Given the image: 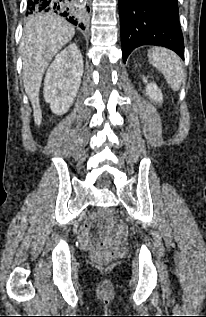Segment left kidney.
<instances>
[{"mask_svg":"<svg viewBox=\"0 0 206 317\" xmlns=\"http://www.w3.org/2000/svg\"><path fill=\"white\" fill-rule=\"evenodd\" d=\"M143 81L147 84L145 89L146 95L156 103L162 102L163 95L159 87L155 83H148L145 77H143Z\"/></svg>","mask_w":206,"mask_h":317,"instance_id":"left-kidney-1","label":"left kidney"}]
</instances>
